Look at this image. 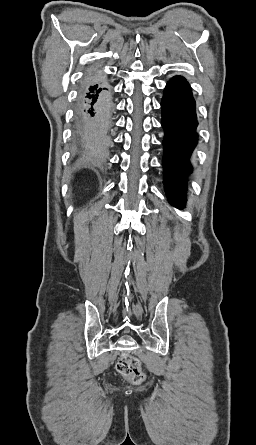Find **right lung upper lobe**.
Instances as JSON below:
<instances>
[{
  "label": "right lung upper lobe",
  "mask_w": 256,
  "mask_h": 445,
  "mask_svg": "<svg viewBox=\"0 0 256 445\" xmlns=\"http://www.w3.org/2000/svg\"><path fill=\"white\" fill-rule=\"evenodd\" d=\"M100 80H102V78L99 75H92L89 77L88 82H96Z\"/></svg>",
  "instance_id": "cb5924a9"
}]
</instances>
